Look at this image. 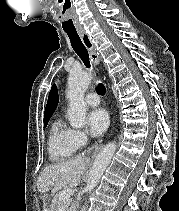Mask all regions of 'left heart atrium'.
Here are the masks:
<instances>
[{"mask_svg":"<svg viewBox=\"0 0 179 211\" xmlns=\"http://www.w3.org/2000/svg\"><path fill=\"white\" fill-rule=\"evenodd\" d=\"M87 124L93 137L102 135L109 125V116L103 109H94L87 115Z\"/></svg>","mask_w":179,"mask_h":211,"instance_id":"left-heart-atrium-1","label":"left heart atrium"}]
</instances>
